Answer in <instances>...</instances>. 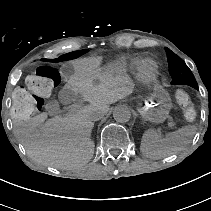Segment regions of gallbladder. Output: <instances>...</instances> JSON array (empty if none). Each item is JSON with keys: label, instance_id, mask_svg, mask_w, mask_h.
Returning a JSON list of instances; mask_svg holds the SVG:
<instances>
[{"label": "gallbladder", "instance_id": "1", "mask_svg": "<svg viewBox=\"0 0 211 211\" xmlns=\"http://www.w3.org/2000/svg\"><path fill=\"white\" fill-rule=\"evenodd\" d=\"M59 102L63 105L78 104L82 100V95L78 91H73L71 88L64 86L58 94Z\"/></svg>", "mask_w": 211, "mask_h": 211}]
</instances>
